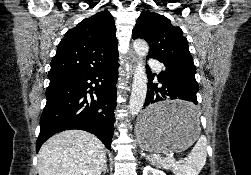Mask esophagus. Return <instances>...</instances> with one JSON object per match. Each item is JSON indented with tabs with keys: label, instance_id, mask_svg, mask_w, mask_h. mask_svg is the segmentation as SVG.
Listing matches in <instances>:
<instances>
[{
	"label": "esophagus",
	"instance_id": "obj_1",
	"mask_svg": "<svg viewBox=\"0 0 251 175\" xmlns=\"http://www.w3.org/2000/svg\"><path fill=\"white\" fill-rule=\"evenodd\" d=\"M137 62H138L137 56L135 55V53H131L130 59H129V68H130L131 74L135 71Z\"/></svg>",
	"mask_w": 251,
	"mask_h": 175
}]
</instances>
